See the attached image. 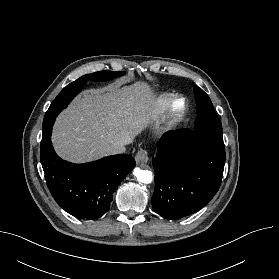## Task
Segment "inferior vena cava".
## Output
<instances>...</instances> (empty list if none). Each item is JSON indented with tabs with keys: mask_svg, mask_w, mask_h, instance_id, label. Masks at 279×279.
<instances>
[{
	"mask_svg": "<svg viewBox=\"0 0 279 279\" xmlns=\"http://www.w3.org/2000/svg\"><path fill=\"white\" fill-rule=\"evenodd\" d=\"M125 145L123 143H115L109 146L106 151L109 155L123 154L126 151Z\"/></svg>",
	"mask_w": 279,
	"mask_h": 279,
	"instance_id": "1",
	"label": "inferior vena cava"
}]
</instances>
